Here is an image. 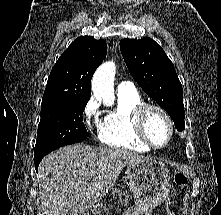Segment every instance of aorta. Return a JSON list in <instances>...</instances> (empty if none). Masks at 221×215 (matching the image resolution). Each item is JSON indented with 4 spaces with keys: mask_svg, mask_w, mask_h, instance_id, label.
<instances>
[{
    "mask_svg": "<svg viewBox=\"0 0 221 215\" xmlns=\"http://www.w3.org/2000/svg\"><path fill=\"white\" fill-rule=\"evenodd\" d=\"M116 67L114 62L103 63L95 72L92 79V91L96 99L112 105L114 101V77Z\"/></svg>",
    "mask_w": 221,
    "mask_h": 215,
    "instance_id": "obj_1",
    "label": "aorta"
}]
</instances>
